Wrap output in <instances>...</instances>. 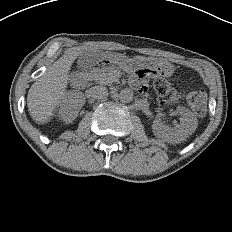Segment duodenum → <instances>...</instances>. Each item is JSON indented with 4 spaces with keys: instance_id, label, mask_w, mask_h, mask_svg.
<instances>
[{
    "instance_id": "410a0bca",
    "label": "duodenum",
    "mask_w": 232,
    "mask_h": 232,
    "mask_svg": "<svg viewBox=\"0 0 232 232\" xmlns=\"http://www.w3.org/2000/svg\"><path fill=\"white\" fill-rule=\"evenodd\" d=\"M85 81H86V77L85 76H80V77H78L76 79L75 84H76L77 87H80L85 83Z\"/></svg>"
}]
</instances>
